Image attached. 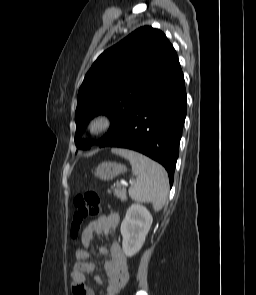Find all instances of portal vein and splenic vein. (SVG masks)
<instances>
[{
    "label": "portal vein and splenic vein",
    "instance_id": "18ae733b",
    "mask_svg": "<svg viewBox=\"0 0 256 295\" xmlns=\"http://www.w3.org/2000/svg\"><path fill=\"white\" fill-rule=\"evenodd\" d=\"M122 185V183H120V182H117V186H121Z\"/></svg>",
    "mask_w": 256,
    "mask_h": 295
}]
</instances>
